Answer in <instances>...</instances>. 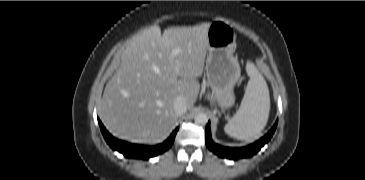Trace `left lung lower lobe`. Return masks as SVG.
Returning <instances> with one entry per match:
<instances>
[{"instance_id": "left-lung-lower-lobe-1", "label": "left lung lower lobe", "mask_w": 365, "mask_h": 180, "mask_svg": "<svg viewBox=\"0 0 365 180\" xmlns=\"http://www.w3.org/2000/svg\"><path fill=\"white\" fill-rule=\"evenodd\" d=\"M278 121L274 124L272 129L260 140L256 141L255 143L242 147V148H229L223 147L215 144L211 139V131H210V122H208L206 129H205V141L207 147L213 151L215 154L219 155L220 157H225L229 159H239L244 157H250L256 154L272 137Z\"/></svg>"}]
</instances>
